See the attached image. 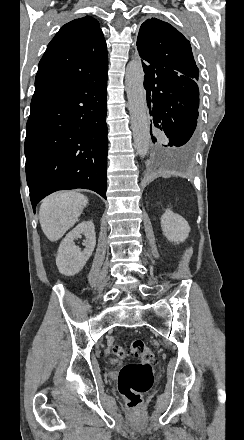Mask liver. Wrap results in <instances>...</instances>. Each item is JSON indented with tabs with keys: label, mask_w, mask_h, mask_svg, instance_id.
<instances>
[{
	"label": "liver",
	"mask_w": 244,
	"mask_h": 440,
	"mask_svg": "<svg viewBox=\"0 0 244 440\" xmlns=\"http://www.w3.org/2000/svg\"><path fill=\"white\" fill-rule=\"evenodd\" d=\"M88 198L78 192H55L42 200L39 210V222L46 238L57 242L70 230L85 206Z\"/></svg>",
	"instance_id": "obj_1"
}]
</instances>
